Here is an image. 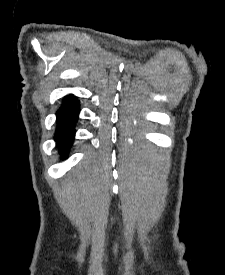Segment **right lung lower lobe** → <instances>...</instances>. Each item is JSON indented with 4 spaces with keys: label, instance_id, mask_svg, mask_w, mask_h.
<instances>
[{
    "label": "right lung lower lobe",
    "instance_id": "obj_1",
    "mask_svg": "<svg viewBox=\"0 0 225 275\" xmlns=\"http://www.w3.org/2000/svg\"><path fill=\"white\" fill-rule=\"evenodd\" d=\"M79 111V101L73 95H68L63 98L61 107L56 113L55 141L62 159L67 158L72 147Z\"/></svg>",
    "mask_w": 225,
    "mask_h": 275
}]
</instances>
